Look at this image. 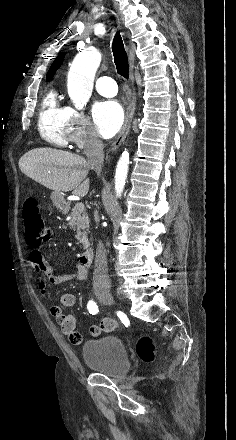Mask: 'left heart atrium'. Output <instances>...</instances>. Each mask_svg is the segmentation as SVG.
<instances>
[{"label": "left heart atrium", "instance_id": "left-heart-atrium-1", "mask_svg": "<svg viewBox=\"0 0 236 440\" xmlns=\"http://www.w3.org/2000/svg\"><path fill=\"white\" fill-rule=\"evenodd\" d=\"M93 118L99 135L104 138H110L123 125V108L117 101L99 102L93 108Z\"/></svg>", "mask_w": 236, "mask_h": 440}]
</instances>
